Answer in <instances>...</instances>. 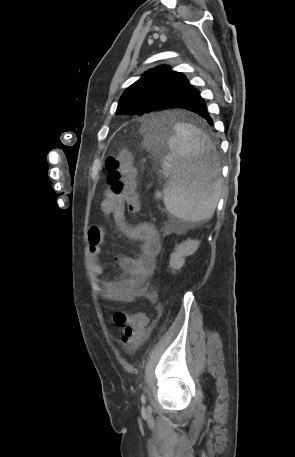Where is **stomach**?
Wrapping results in <instances>:
<instances>
[{
    "label": "stomach",
    "instance_id": "stomach-1",
    "mask_svg": "<svg viewBox=\"0 0 295 457\" xmlns=\"http://www.w3.org/2000/svg\"><path fill=\"white\" fill-rule=\"evenodd\" d=\"M160 129L154 130L153 124L148 123L144 128L145 138L148 142L160 143L164 152H169V141L175 135L174 126L167 122H158Z\"/></svg>",
    "mask_w": 295,
    "mask_h": 457
}]
</instances>
